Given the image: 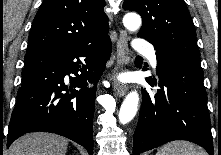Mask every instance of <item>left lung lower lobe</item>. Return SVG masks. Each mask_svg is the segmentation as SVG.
<instances>
[{"instance_id": "0a47b994", "label": "left lung lower lobe", "mask_w": 221, "mask_h": 155, "mask_svg": "<svg viewBox=\"0 0 221 155\" xmlns=\"http://www.w3.org/2000/svg\"><path fill=\"white\" fill-rule=\"evenodd\" d=\"M159 89L142 90L133 155L172 140H189L214 155L200 56L156 49ZM135 64L141 67L140 58ZM150 86L157 81L146 78Z\"/></svg>"}]
</instances>
